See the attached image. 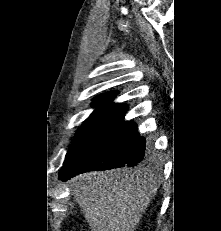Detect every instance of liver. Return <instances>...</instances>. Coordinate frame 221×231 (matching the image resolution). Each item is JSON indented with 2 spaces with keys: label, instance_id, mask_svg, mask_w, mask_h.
I'll return each instance as SVG.
<instances>
[{
  "label": "liver",
  "instance_id": "6515ba94",
  "mask_svg": "<svg viewBox=\"0 0 221 231\" xmlns=\"http://www.w3.org/2000/svg\"><path fill=\"white\" fill-rule=\"evenodd\" d=\"M71 185L92 231H134L158 189L151 172L131 168L80 174Z\"/></svg>",
  "mask_w": 221,
  "mask_h": 231
}]
</instances>
